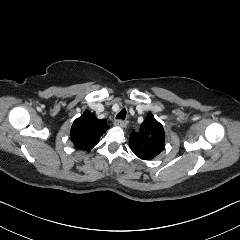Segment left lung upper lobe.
Wrapping results in <instances>:
<instances>
[{"mask_svg":"<svg viewBox=\"0 0 240 240\" xmlns=\"http://www.w3.org/2000/svg\"><path fill=\"white\" fill-rule=\"evenodd\" d=\"M165 140L163 126L148 114L139 132L130 135L129 146L140 159H151L161 153Z\"/></svg>","mask_w":240,"mask_h":240,"instance_id":"obj_1","label":"left lung upper lobe"}]
</instances>
